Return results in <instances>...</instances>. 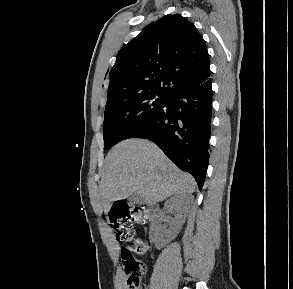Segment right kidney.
<instances>
[{"label":"right kidney","mask_w":293,"mask_h":289,"mask_svg":"<svg viewBox=\"0 0 293 289\" xmlns=\"http://www.w3.org/2000/svg\"><path fill=\"white\" fill-rule=\"evenodd\" d=\"M173 209L175 210V217L170 223L169 231H167L170 238H174L178 234L186 219V211L180 195L172 196L165 202L164 210L170 212Z\"/></svg>","instance_id":"ca27d5eb"}]
</instances>
